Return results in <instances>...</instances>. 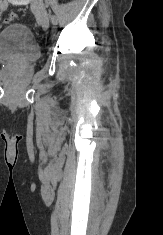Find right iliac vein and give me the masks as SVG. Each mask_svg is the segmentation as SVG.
Here are the masks:
<instances>
[{"label": "right iliac vein", "instance_id": "obj_1", "mask_svg": "<svg viewBox=\"0 0 163 235\" xmlns=\"http://www.w3.org/2000/svg\"><path fill=\"white\" fill-rule=\"evenodd\" d=\"M4 2H5V0H0V8L2 7Z\"/></svg>", "mask_w": 163, "mask_h": 235}]
</instances>
